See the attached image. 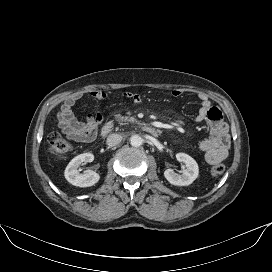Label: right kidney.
Returning a JSON list of instances; mask_svg holds the SVG:
<instances>
[{
    "label": "right kidney",
    "instance_id": "1",
    "mask_svg": "<svg viewBox=\"0 0 272 272\" xmlns=\"http://www.w3.org/2000/svg\"><path fill=\"white\" fill-rule=\"evenodd\" d=\"M94 155L91 153H83L73 158L67 165L64 176L66 180L74 186L90 187L95 185L100 176L92 170H86L80 173L78 167L83 163L92 162Z\"/></svg>",
    "mask_w": 272,
    "mask_h": 272
}]
</instances>
